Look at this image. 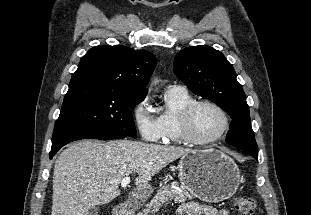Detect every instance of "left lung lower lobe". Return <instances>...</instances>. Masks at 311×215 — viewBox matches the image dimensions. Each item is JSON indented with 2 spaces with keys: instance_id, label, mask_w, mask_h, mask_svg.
Wrapping results in <instances>:
<instances>
[{
  "instance_id": "1",
  "label": "left lung lower lobe",
  "mask_w": 311,
  "mask_h": 215,
  "mask_svg": "<svg viewBox=\"0 0 311 215\" xmlns=\"http://www.w3.org/2000/svg\"><path fill=\"white\" fill-rule=\"evenodd\" d=\"M245 152V151H244ZM246 153H248V152H246ZM248 154H250L252 157H254L255 159H258V154H252V153H248Z\"/></svg>"
}]
</instances>
